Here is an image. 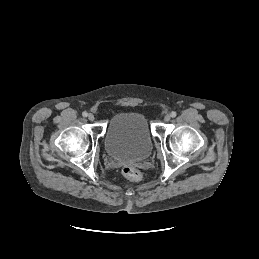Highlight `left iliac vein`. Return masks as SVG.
<instances>
[{
    "label": "left iliac vein",
    "instance_id": "4c4485c4",
    "mask_svg": "<svg viewBox=\"0 0 259 259\" xmlns=\"http://www.w3.org/2000/svg\"><path fill=\"white\" fill-rule=\"evenodd\" d=\"M170 119H171V115H169V114L165 115L164 121L168 122V121H170Z\"/></svg>",
    "mask_w": 259,
    "mask_h": 259
}]
</instances>
